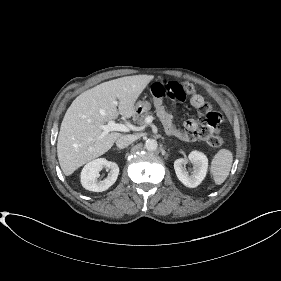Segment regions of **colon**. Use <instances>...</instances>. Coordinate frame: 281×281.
Masks as SVG:
<instances>
[{"mask_svg": "<svg viewBox=\"0 0 281 281\" xmlns=\"http://www.w3.org/2000/svg\"><path fill=\"white\" fill-rule=\"evenodd\" d=\"M151 95L156 99H170L183 101L187 95L194 92V86L190 82H156L152 84ZM202 127L196 133L198 139L206 140L212 148H218L223 144L221 136L218 134L222 116L215 111H201Z\"/></svg>", "mask_w": 281, "mask_h": 281, "instance_id": "5ec220e1", "label": "colon"}]
</instances>
